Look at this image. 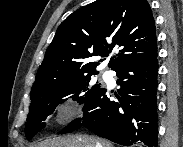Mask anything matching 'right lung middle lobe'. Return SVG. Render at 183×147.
I'll return each mask as SVG.
<instances>
[{
    "mask_svg": "<svg viewBox=\"0 0 183 147\" xmlns=\"http://www.w3.org/2000/svg\"><path fill=\"white\" fill-rule=\"evenodd\" d=\"M85 75L71 79L54 81L44 87L31 91V105L25 126V135L30 140L45 127L46 119L56 107L71 96L78 103H86L99 89L93 84L91 76Z\"/></svg>",
    "mask_w": 183,
    "mask_h": 147,
    "instance_id": "dd1d6c3e",
    "label": "right lung middle lobe"
}]
</instances>
